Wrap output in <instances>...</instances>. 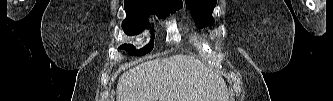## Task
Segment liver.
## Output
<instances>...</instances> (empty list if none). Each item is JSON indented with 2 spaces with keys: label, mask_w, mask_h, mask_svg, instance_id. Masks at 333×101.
I'll return each instance as SVG.
<instances>
[{
  "label": "liver",
  "mask_w": 333,
  "mask_h": 101,
  "mask_svg": "<svg viewBox=\"0 0 333 101\" xmlns=\"http://www.w3.org/2000/svg\"><path fill=\"white\" fill-rule=\"evenodd\" d=\"M222 77L194 57L173 55L124 72L117 101H228Z\"/></svg>",
  "instance_id": "6515ba94"
}]
</instances>
